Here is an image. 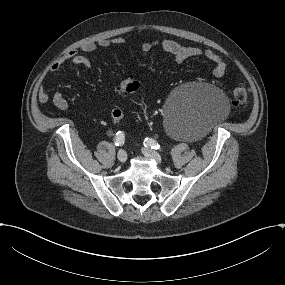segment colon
Wrapping results in <instances>:
<instances>
[{
    "instance_id": "1",
    "label": "colon",
    "mask_w": 285,
    "mask_h": 285,
    "mask_svg": "<svg viewBox=\"0 0 285 285\" xmlns=\"http://www.w3.org/2000/svg\"><path fill=\"white\" fill-rule=\"evenodd\" d=\"M140 90V83L133 79H127L123 81L117 88L118 94L126 95V94H134ZM249 92L248 89L244 86L236 87L231 95V105L234 108H241L247 105L248 103ZM124 117L123 110L119 107L114 108L111 112V118L114 123H119L122 121Z\"/></svg>"
}]
</instances>
